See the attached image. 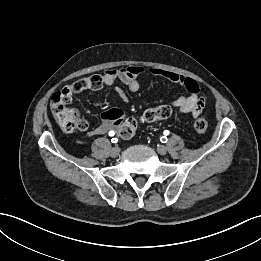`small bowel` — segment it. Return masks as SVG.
I'll use <instances>...</instances> for the list:
<instances>
[{
	"instance_id": "1",
	"label": "small bowel",
	"mask_w": 261,
	"mask_h": 261,
	"mask_svg": "<svg viewBox=\"0 0 261 261\" xmlns=\"http://www.w3.org/2000/svg\"><path fill=\"white\" fill-rule=\"evenodd\" d=\"M143 71V67L135 64L123 68L110 69L101 75H94L92 77L85 78L87 82L85 89L99 90L104 86H110L116 81H119L125 84L130 91L136 92L140 89V81L138 77L141 73H143ZM150 72L156 77L168 79L186 88L188 91L187 95L180 96L171 102V105L178 109L180 113L190 114L192 117H197L202 113L206 98L199 94V86L194 79L160 68H152L150 69ZM115 90L121 99H126V94L120 87H116ZM112 110L121 112L118 109H110L105 111L102 114L104 122L91 130L88 133L89 136L102 135L109 130L113 131L119 129V125L107 117L108 113Z\"/></svg>"
}]
</instances>
